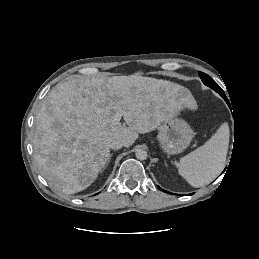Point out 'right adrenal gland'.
Here are the masks:
<instances>
[{"mask_svg":"<svg viewBox=\"0 0 259 259\" xmlns=\"http://www.w3.org/2000/svg\"><path fill=\"white\" fill-rule=\"evenodd\" d=\"M112 155H113V154L111 153L110 156H109V159H108V161H107V163H106V166L104 167V169H105V168L108 166V164L110 163V160H111ZM104 169H103V170H104ZM103 170H102V172H103Z\"/></svg>","mask_w":259,"mask_h":259,"instance_id":"1","label":"right adrenal gland"}]
</instances>
